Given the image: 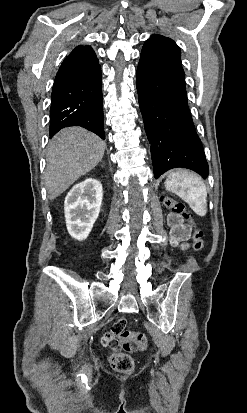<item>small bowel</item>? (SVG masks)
Wrapping results in <instances>:
<instances>
[{
  "instance_id": "c3829d8e",
  "label": "small bowel",
  "mask_w": 247,
  "mask_h": 413,
  "mask_svg": "<svg viewBox=\"0 0 247 413\" xmlns=\"http://www.w3.org/2000/svg\"><path fill=\"white\" fill-rule=\"evenodd\" d=\"M168 223L171 226L170 238L171 244L180 248L181 250H187L189 248V227L186 224L181 223L177 217L171 215L168 219ZM121 322H115L113 328L115 331H124L126 328L125 317L120 318ZM115 331H109L108 334L102 336V347L104 349H111L112 354L118 353L116 342L113 340V336L116 335Z\"/></svg>"
}]
</instances>
